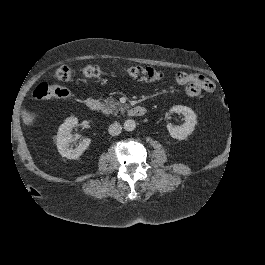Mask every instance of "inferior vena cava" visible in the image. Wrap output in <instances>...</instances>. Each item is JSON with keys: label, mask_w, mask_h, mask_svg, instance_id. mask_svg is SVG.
<instances>
[{"label": "inferior vena cava", "mask_w": 265, "mask_h": 265, "mask_svg": "<svg viewBox=\"0 0 265 265\" xmlns=\"http://www.w3.org/2000/svg\"><path fill=\"white\" fill-rule=\"evenodd\" d=\"M121 130H122V127L117 122H114L113 124H111L108 129L109 134L112 136L119 135L121 133Z\"/></svg>", "instance_id": "602c4592"}]
</instances>
